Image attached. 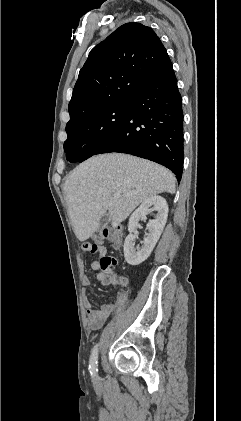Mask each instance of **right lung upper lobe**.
Returning a JSON list of instances; mask_svg holds the SVG:
<instances>
[{
	"label": "right lung upper lobe",
	"instance_id": "1",
	"mask_svg": "<svg viewBox=\"0 0 241 421\" xmlns=\"http://www.w3.org/2000/svg\"><path fill=\"white\" fill-rule=\"evenodd\" d=\"M168 54L159 37L140 23H126L90 52L69 103L70 121L127 101L154 76Z\"/></svg>",
	"mask_w": 241,
	"mask_h": 421
}]
</instances>
